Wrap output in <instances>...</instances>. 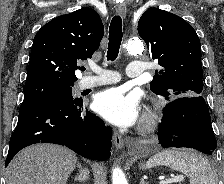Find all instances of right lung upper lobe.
<instances>
[{
  "mask_svg": "<svg viewBox=\"0 0 224 184\" xmlns=\"http://www.w3.org/2000/svg\"><path fill=\"white\" fill-rule=\"evenodd\" d=\"M103 35L101 18L92 8L54 18L34 37L25 85L74 84L77 62L91 58Z\"/></svg>",
  "mask_w": 224,
  "mask_h": 184,
  "instance_id": "cb5924a9",
  "label": "right lung upper lobe"
}]
</instances>
